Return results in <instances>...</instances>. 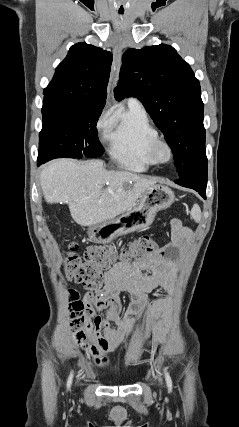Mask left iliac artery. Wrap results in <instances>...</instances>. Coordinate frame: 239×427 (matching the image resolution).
<instances>
[{
	"label": "left iliac artery",
	"mask_w": 239,
	"mask_h": 427,
	"mask_svg": "<svg viewBox=\"0 0 239 427\" xmlns=\"http://www.w3.org/2000/svg\"><path fill=\"white\" fill-rule=\"evenodd\" d=\"M164 374H165V379H166L167 387H168L169 391L171 392V390H172V380H171V377H170V375H169V373H168V371H167L166 368H164Z\"/></svg>",
	"instance_id": "44dca946"
}]
</instances>
